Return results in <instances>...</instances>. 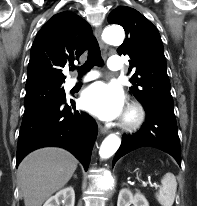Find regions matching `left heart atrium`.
Returning <instances> with one entry per match:
<instances>
[{"label": "left heart atrium", "mask_w": 197, "mask_h": 206, "mask_svg": "<svg viewBox=\"0 0 197 206\" xmlns=\"http://www.w3.org/2000/svg\"><path fill=\"white\" fill-rule=\"evenodd\" d=\"M81 105L99 118L110 120L122 113L124 96L119 87L97 82L83 92Z\"/></svg>", "instance_id": "39dd6f15"}]
</instances>
